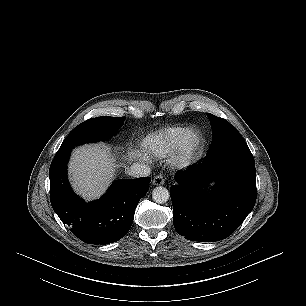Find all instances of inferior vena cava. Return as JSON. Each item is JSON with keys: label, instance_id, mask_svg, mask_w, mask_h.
Returning <instances> with one entry per match:
<instances>
[{"label": "inferior vena cava", "instance_id": "1", "mask_svg": "<svg viewBox=\"0 0 306 306\" xmlns=\"http://www.w3.org/2000/svg\"><path fill=\"white\" fill-rule=\"evenodd\" d=\"M127 173L135 178L138 177H146L149 176L151 173V169L148 165L142 164V163H134L132 166L128 169Z\"/></svg>", "mask_w": 306, "mask_h": 306}]
</instances>
